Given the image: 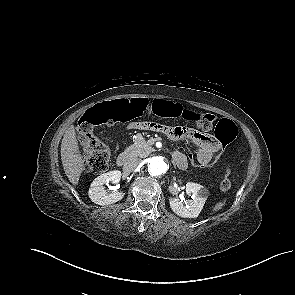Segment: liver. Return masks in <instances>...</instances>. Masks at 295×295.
<instances>
[{"mask_svg":"<svg viewBox=\"0 0 295 295\" xmlns=\"http://www.w3.org/2000/svg\"><path fill=\"white\" fill-rule=\"evenodd\" d=\"M61 160L69 181L77 185L84 171V159L79 150L74 127L68 129L62 139Z\"/></svg>","mask_w":295,"mask_h":295,"instance_id":"6515ba94","label":"liver"}]
</instances>
